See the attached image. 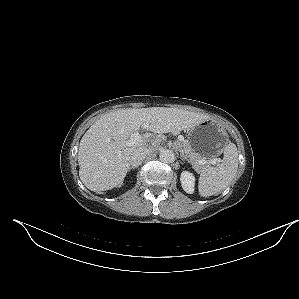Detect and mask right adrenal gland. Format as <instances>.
<instances>
[{"label": "right adrenal gland", "instance_id": "1", "mask_svg": "<svg viewBox=\"0 0 299 299\" xmlns=\"http://www.w3.org/2000/svg\"><path fill=\"white\" fill-rule=\"evenodd\" d=\"M136 167H134V166H131V167H129V171L131 170V169H135Z\"/></svg>", "mask_w": 299, "mask_h": 299}]
</instances>
